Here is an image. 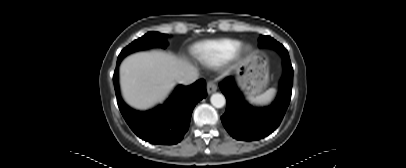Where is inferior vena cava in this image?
Here are the masks:
<instances>
[{
	"label": "inferior vena cava",
	"instance_id": "inferior-vena-cava-1",
	"mask_svg": "<svg viewBox=\"0 0 406 168\" xmlns=\"http://www.w3.org/2000/svg\"><path fill=\"white\" fill-rule=\"evenodd\" d=\"M199 77L198 70L194 67H191L187 69L185 72H182L180 75H178L177 80L181 84H191L195 82Z\"/></svg>",
	"mask_w": 406,
	"mask_h": 168
}]
</instances>
